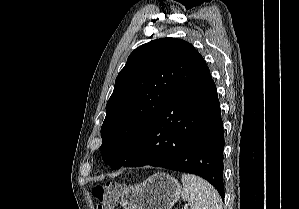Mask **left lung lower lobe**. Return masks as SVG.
Segmentation results:
<instances>
[{
    "label": "left lung lower lobe",
    "instance_id": "0a47b994",
    "mask_svg": "<svg viewBox=\"0 0 299 209\" xmlns=\"http://www.w3.org/2000/svg\"><path fill=\"white\" fill-rule=\"evenodd\" d=\"M223 149L220 103L206 66L161 107L120 167L150 165L196 174L224 199Z\"/></svg>",
    "mask_w": 299,
    "mask_h": 209
}]
</instances>
